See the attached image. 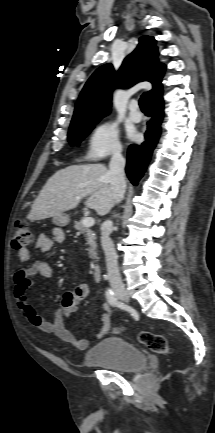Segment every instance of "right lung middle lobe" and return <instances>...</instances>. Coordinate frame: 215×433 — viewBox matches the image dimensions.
Returning <instances> with one entry per match:
<instances>
[{
    "label": "right lung middle lobe",
    "instance_id": "1",
    "mask_svg": "<svg viewBox=\"0 0 215 433\" xmlns=\"http://www.w3.org/2000/svg\"><path fill=\"white\" fill-rule=\"evenodd\" d=\"M99 120L100 119L71 124L68 133V140L70 144L73 145L80 143L81 140L90 133V131L94 128V125Z\"/></svg>",
    "mask_w": 215,
    "mask_h": 433
}]
</instances>
